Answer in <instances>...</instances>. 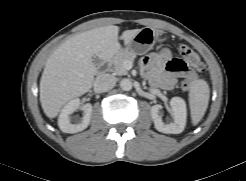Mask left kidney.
Segmentation results:
<instances>
[{
  "label": "left kidney",
  "mask_w": 246,
  "mask_h": 181,
  "mask_svg": "<svg viewBox=\"0 0 246 181\" xmlns=\"http://www.w3.org/2000/svg\"><path fill=\"white\" fill-rule=\"evenodd\" d=\"M173 121L164 122L162 119V105H154L151 107V117L156 130L165 134H179L186 125L187 109L185 101L180 97H173L170 101Z\"/></svg>",
  "instance_id": "left-kidney-1"
}]
</instances>
